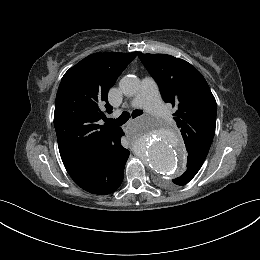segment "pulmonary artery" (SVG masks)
Instances as JSON below:
<instances>
[{
	"mask_svg": "<svg viewBox=\"0 0 260 260\" xmlns=\"http://www.w3.org/2000/svg\"><path fill=\"white\" fill-rule=\"evenodd\" d=\"M133 108H145L149 113L170 122L172 120L160 100L157 83L151 77L142 80V87L137 97L132 101Z\"/></svg>",
	"mask_w": 260,
	"mask_h": 260,
	"instance_id": "pulmonary-artery-1",
	"label": "pulmonary artery"
}]
</instances>
